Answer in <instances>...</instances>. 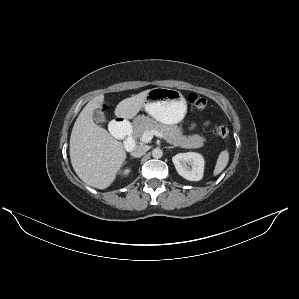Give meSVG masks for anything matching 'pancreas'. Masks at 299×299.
<instances>
[{
  "mask_svg": "<svg viewBox=\"0 0 299 299\" xmlns=\"http://www.w3.org/2000/svg\"><path fill=\"white\" fill-rule=\"evenodd\" d=\"M135 137L141 138L145 131L157 130L163 134L166 141L174 146L191 149L200 148L205 142V138L199 135L185 136L181 129L176 125H165L151 119L141 116L133 124Z\"/></svg>",
  "mask_w": 299,
  "mask_h": 299,
  "instance_id": "obj_1",
  "label": "pancreas"
}]
</instances>
